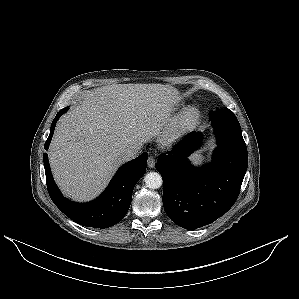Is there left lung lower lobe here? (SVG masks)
<instances>
[{
  "label": "left lung lower lobe",
  "instance_id": "left-lung-lower-lobe-1",
  "mask_svg": "<svg viewBox=\"0 0 299 299\" xmlns=\"http://www.w3.org/2000/svg\"><path fill=\"white\" fill-rule=\"evenodd\" d=\"M210 120L218 144L212 163L195 168L188 162L186 157L201 143V134L191 132L156 164L164 182L165 212L189 230L212 223L233 206L248 166L246 144L233 112L226 109Z\"/></svg>",
  "mask_w": 299,
  "mask_h": 299
}]
</instances>
